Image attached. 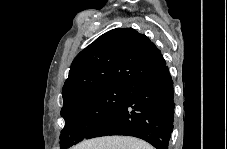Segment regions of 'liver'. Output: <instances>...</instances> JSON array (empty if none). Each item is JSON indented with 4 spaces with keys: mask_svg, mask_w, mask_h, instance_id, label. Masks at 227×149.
I'll return each mask as SVG.
<instances>
[{
    "mask_svg": "<svg viewBox=\"0 0 227 149\" xmlns=\"http://www.w3.org/2000/svg\"><path fill=\"white\" fill-rule=\"evenodd\" d=\"M76 149H152V146L134 137L106 136L83 141Z\"/></svg>",
    "mask_w": 227,
    "mask_h": 149,
    "instance_id": "1",
    "label": "liver"
}]
</instances>
